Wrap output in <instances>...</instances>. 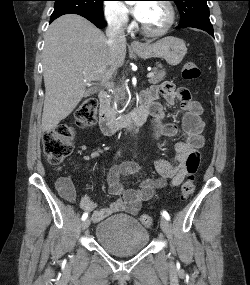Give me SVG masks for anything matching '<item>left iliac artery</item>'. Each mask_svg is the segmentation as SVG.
<instances>
[{"instance_id":"44dca946","label":"left iliac artery","mask_w":250,"mask_h":285,"mask_svg":"<svg viewBox=\"0 0 250 285\" xmlns=\"http://www.w3.org/2000/svg\"><path fill=\"white\" fill-rule=\"evenodd\" d=\"M163 216L167 219V220H169L170 219V216H169V214H168V212H166V211H163Z\"/></svg>"}]
</instances>
